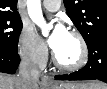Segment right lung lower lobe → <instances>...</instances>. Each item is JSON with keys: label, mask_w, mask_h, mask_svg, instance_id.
Wrapping results in <instances>:
<instances>
[{"label": "right lung lower lobe", "mask_w": 107, "mask_h": 89, "mask_svg": "<svg viewBox=\"0 0 107 89\" xmlns=\"http://www.w3.org/2000/svg\"><path fill=\"white\" fill-rule=\"evenodd\" d=\"M20 63L18 53H11L0 49V72L14 74Z\"/></svg>", "instance_id": "right-lung-lower-lobe-1"}]
</instances>
